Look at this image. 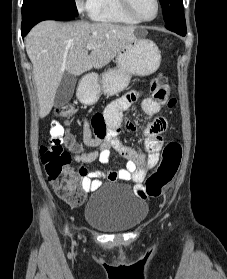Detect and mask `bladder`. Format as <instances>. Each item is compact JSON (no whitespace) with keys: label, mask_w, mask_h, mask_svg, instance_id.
I'll use <instances>...</instances> for the list:
<instances>
[{"label":"bladder","mask_w":227,"mask_h":279,"mask_svg":"<svg viewBox=\"0 0 227 279\" xmlns=\"http://www.w3.org/2000/svg\"><path fill=\"white\" fill-rule=\"evenodd\" d=\"M147 212L148 206L130 188L109 184L90 198L84 219L100 230L126 231L141 224Z\"/></svg>","instance_id":"bladder-1"}]
</instances>
